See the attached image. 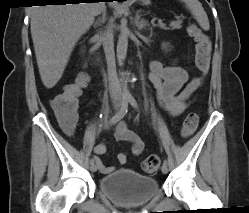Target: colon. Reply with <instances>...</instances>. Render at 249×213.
I'll use <instances>...</instances> for the list:
<instances>
[{
	"instance_id": "colon-1",
	"label": "colon",
	"mask_w": 249,
	"mask_h": 213,
	"mask_svg": "<svg viewBox=\"0 0 249 213\" xmlns=\"http://www.w3.org/2000/svg\"><path fill=\"white\" fill-rule=\"evenodd\" d=\"M188 33L196 42V67L200 74L205 76L209 69L211 42L208 36L195 24L188 27ZM88 84V76L81 73L77 75L74 81L66 84L63 91L56 95L50 102L52 110L61 122L68 125L75 124L77 119L78 97L88 87ZM197 125L198 115L194 112L187 114L181 126L182 136L187 137L191 135L196 130ZM159 164V158L155 155H151L143 161L142 169L146 173H154L158 169Z\"/></svg>"
}]
</instances>
